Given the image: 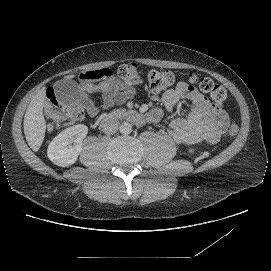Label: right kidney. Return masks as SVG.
Instances as JSON below:
<instances>
[{
  "label": "right kidney",
  "mask_w": 271,
  "mask_h": 271,
  "mask_svg": "<svg viewBox=\"0 0 271 271\" xmlns=\"http://www.w3.org/2000/svg\"><path fill=\"white\" fill-rule=\"evenodd\" d=\"M88 133L86 125L78 124L63 130L49 144L47 155L56 165L74 164L82 150V141Z\"/></svg>",
  "instance_id": "1"
}]
</instances>
